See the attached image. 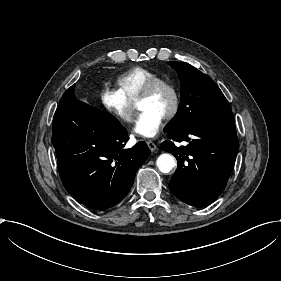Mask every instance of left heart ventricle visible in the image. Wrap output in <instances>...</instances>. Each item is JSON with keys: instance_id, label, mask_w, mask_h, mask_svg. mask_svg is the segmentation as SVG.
Segmentation results:
<instances>
[{"instance_id": "b2bd125f", "label": "left heart ventricle", "mask_w": 281, "mask_h": 281, "mask_svg": "<svg viewBox=\"0 0 281 281\" xmlns=\"http://www.w3.org/2000/svg\"><path fill=\"white\" fill-rule=\"evenodd\" d=\"M137 106L140 111L148 110L164 120L171 107V95L166 88L161 87L152 97L138 102Z\"/></svg>"}]
</instances>
